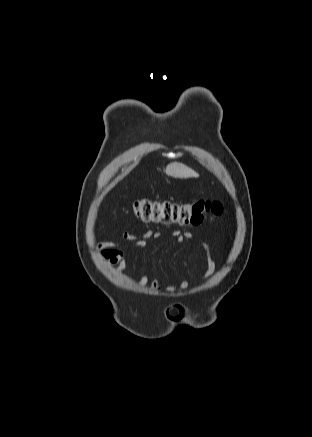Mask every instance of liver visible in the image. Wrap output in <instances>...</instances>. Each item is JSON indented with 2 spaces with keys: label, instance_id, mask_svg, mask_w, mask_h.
<instances>
[{
  "label": "liver",
  "instance_id": "liver-1",
  "mask_svg": "<svg viewBox=\"0 0 312 437\" xmlns=\"http://www.w3.org/2000/svg\"><path fill=\"white\" fill-rule=\"evenodd\" d=\"M166 174L176 178H191L199 176L194 170L179 162L168 164L166 167Z\"/></svg>",
  "mask_w": 312,
  "mask_h": 437
}]
</instances>
